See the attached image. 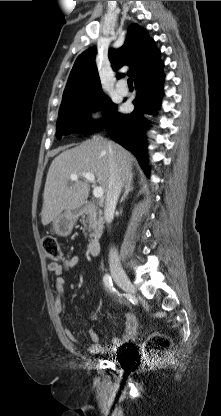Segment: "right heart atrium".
Instances as JSON below:
<instances>
[{
    "instance_id": "1",
    "label": "right heart atrium",
    "mask_w": 221,
    "mask_h": 416,
    "mask_svg": "<svg viewBox=\"0 0 221 416\" xmlns=\"http://www.w3.org/2000/svg\"><path fill=\"white\" fill-rule=\"evenodd\" d=\"M88 117L91 121H100L103 117V109L101 107H93L88 112Z\"/></svg>"
}]
</instances>
